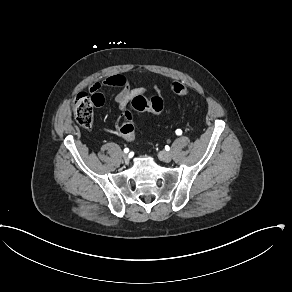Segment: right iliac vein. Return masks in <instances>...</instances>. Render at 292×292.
Segmentation results:
<instances>
[{"label": "right iliac vein", "instance_id": "63e3f726", "mask_svg": "<svg viewBox=\"0 0 292 292\" xmlns=\"http://www.w3.org/2000/svg\"><path fill=\"white\" fill-rule=\"evenodd\" d=\"M122 157H123L124 161H128V159H129V155L127 153H123Z\"/></svg>", "mask_w": 292, "mask_h": 292}]
</instances>
